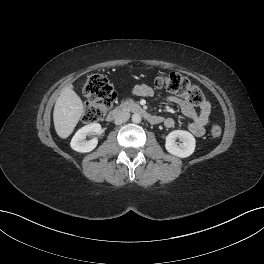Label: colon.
<instances>
[{"label": "colon", "instance_id": "obj_1", "mask_svg": "<svg viewBox=\"0 0 264 264\" xmlns=\"http://www.w3.org/2000/svg\"><path fill=\"white\" fill-rule=\"evenodd\" d=\"M156 88H163L170 93L184 98L191 105H200L204 101L202 90L187 78L178 73H160L152 79ZM86 98L83 121L93 123L100 121L116 99V93L109 80L100 74L90 76L83 88ZM222 129L218 124H213L209 134L218 138Z\"/></svg>", "mask_w": 264, "mask_h": 264}]
</instances>
